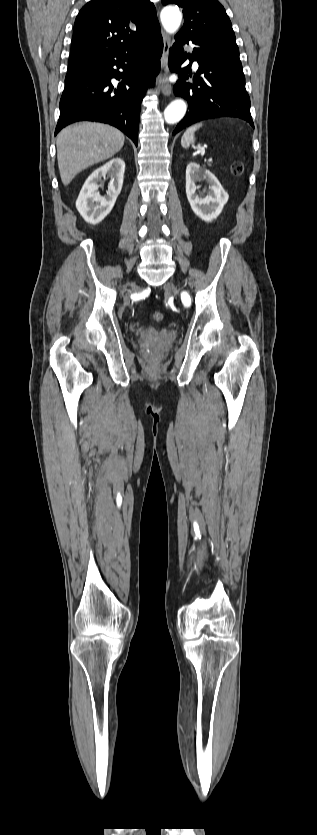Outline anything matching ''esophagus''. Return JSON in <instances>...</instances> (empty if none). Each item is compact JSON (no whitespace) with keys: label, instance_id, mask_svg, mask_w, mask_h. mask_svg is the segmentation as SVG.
Masks as SVG:
<instances>
[{"label":"esophagus","instance_id":"34e87169","mask_svg":"<svg viewBox=\"0 0 317 835\" xmlns=\"http://www.w3.org/2000/svg\"><path fill=\"white\" fill-rule=\"evenodd\" d=\"M163 49H162V57H161V67L162 69L167 72V55L170 49V38L167 33L163 32ZM161 91L163 95L169 96L172 93V85L168 82H163L161 84Z\"/></svg>","mask_w":317,"mask_h":835}]
</instances>
